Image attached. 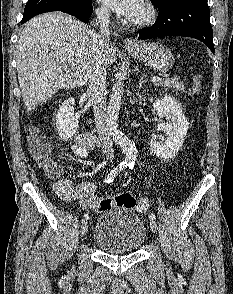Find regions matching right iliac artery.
<instances>
[{
	"label": "right iliac artery",
	"instance_id": "1",
	"mask_svg": "<svg viewBox=\"0 0 233 294\" xmlns=\"http://www.w3.org/2000/svg\"><path fill=\"white\" fill-rule=\"evenodd\" d=\"M129 164L126 162L120 163L117 167H115L106 177L105 182L110 183L114 180V178L119 174L121 170L126 168ZM89 216L88 214H84L83 221L88 220Z\"/></svg>",
	"mask_w": 233,
	"mask_h": 294
}]
</instances>
